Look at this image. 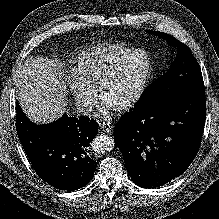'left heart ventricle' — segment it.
<instances>
[{"label": "left heart ventricle", "mask_w": 219, "mask_h": 219, "mask_svg": "<svg viewBox=\"0 0 219 219\" xmlns=\"http://www.w3.org/2000/svg\"><path fill=\"white\" fill-rule=\"evenodd\" d=\"M149 66L144 54H137L125 61L104 90L102 98L110 105L121 104L137 91Z\"/></svg>", "instance_id": "obj_1"}]
</instances>
